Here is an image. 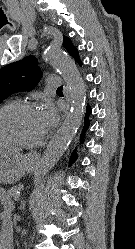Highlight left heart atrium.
<instances>
[{
    "label": "left heart atrium",
    "instance_id": "obj_1",
    "mask_svg": "<svg viewBox=\"0 0 135 249\" xmlns=\"http://www.w3.org/2000/svg\"><path fill=\"white\" fill-rule=\"evenodd\" d=\"M39 117L43 130L46 132L57 121V111L54 104L50 101H45L39 109Z\"/></svg>",
    "mask_w": 135,
    "mask_h": 249
}]
</instances>
